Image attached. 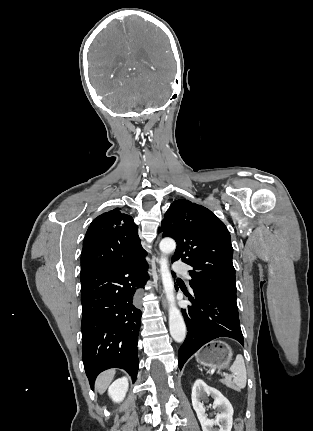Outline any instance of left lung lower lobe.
<instances>
[{
  "label": "left lung lower lobe",
  "instance_id": "left-lung-lower-lobe-1",
  "mask_svg": "<svg viewBox=\"0 0 313 431\" xmlns=\"http://www.w3.org/2000/svg\"><path fill=\"white\" fill-rule=\"evenodd\" d=\"M186 295L192 305L182 309L188 333L178 353L180 370L200 347L213 339L230 337L244 344L236 297L210 290H193L192 295Z\"/></svg>",
  "mask_w": 313,
  "mask_h": 431
}]
</instances>
